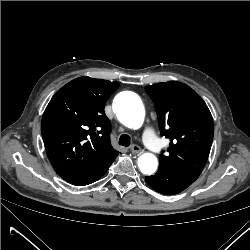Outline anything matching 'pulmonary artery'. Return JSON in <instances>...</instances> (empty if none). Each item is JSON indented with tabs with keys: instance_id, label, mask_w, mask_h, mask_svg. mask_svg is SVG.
<instances>
[{
	"instance_id": "1",
	"label": "pulmonary artery",
	"mask_w": 250,
	"mask_h": 250,
	"mask_svg": "<svg viewBox=\"0 0 250 250\" xmlns=\"http://www.w3.org/2000/svg\"><path fill=\"white\" fill-rule=\"evenodd\" d=\"M143 140H144L146 147L151 152L155 154H158L161 152L162 146L151 129L147 128L143 131Z\"/></svg>"
}]
</instances>
